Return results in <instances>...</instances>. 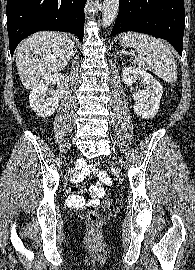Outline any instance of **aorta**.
Returning <instances> with one entry per match:
<instances>
[{
    "mask_svg": "<svg viewBox=\"0 0 195 270\" xmlns=\"http://www.w3.org/2000/svg\"><path fill=\"white\" fill-rule=\"evenodd\" d=\"M120 0H104L102 9L103 27H109L118 14Z\"/></svg>",
    "mask_w": 195,
    "mask_h": 270,
    "instance_id": "aorta-1",
    "label": "aorta"
}]
</instances>
